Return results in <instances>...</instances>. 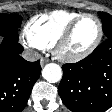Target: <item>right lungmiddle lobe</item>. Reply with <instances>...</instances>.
<instances>
[{"mask_svg": "<svg viewBox=\"0 0 112 112\" xmlns=\"http://www.w3.org/2000/svg\"><path fill=\"white\" fill-rule=\"evenodd\" d=\"M22 23L19 15L0 14V35L11 41H18V28Z\"/></svg>", "mask_w": 112, "mask_h": 112, "instance_id": "1", "label": "right lung middle lobe"}]
</instances>
